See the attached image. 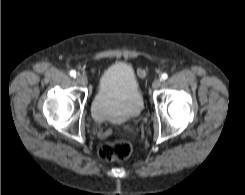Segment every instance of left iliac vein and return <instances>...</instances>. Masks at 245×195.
Instances as JSON below:
<instances>
[{
  "label": "left iliac vein",
  "mask_w": 245,
  "mask_h": 195,
  "mask_svg": "<svg viewBox=\"0 0 245 195\" xmlns=\"http://www.w3.org/2000/svg\"><path fill=\"white\" fill-rule=\"evenodd\" d=\"M162 84V79L156 78L153 83H152V88L153 89H158Z\"/></svg>",
  "instance_id": "obj_1"
}]
</instances>
